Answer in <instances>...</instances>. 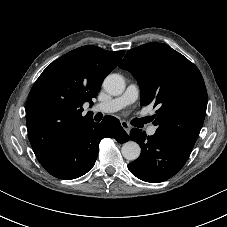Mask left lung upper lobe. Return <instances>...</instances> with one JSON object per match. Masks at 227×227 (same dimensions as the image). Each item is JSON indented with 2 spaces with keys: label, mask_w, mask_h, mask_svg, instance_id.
Masks as SVG:
<instances>
[{
  "label": "left lung upper lobe",
  "mask_w": 227,
  "mask_h": 227,
  "mask_svg": "<svg viewBox=\"0 0 227 227\" xmlns=\"http://www.w3.org/2000/svg\"><path fill=\"white\" fill-rule=\"evenodd\" d=\"M119 67L131 72L141 89V105L158 110L157 131L193 148L202 128L207 91L198 68L166 44L151 42L127 52Z\"/></svg>",
  "instance_id": "1"
}]
</instances>
